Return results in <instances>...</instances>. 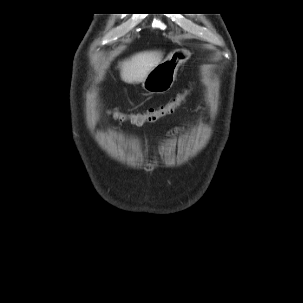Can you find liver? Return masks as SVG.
Wrapping results in <instances>:
<instances>
[{
  "instance_id": "liver-1",
  "label": "liver",
  "mask_w": 303,
  "mask_h": 303,
  "mask_svg": "<svg viewBox=\"0 0 303 303\" xmlns=\"http://www.w3.org/2000/svg\"><path fill=\"white\" fill-rule=\"evenodd\" d=\"M163 54L157 51L142 52L120 63L121 79L129 84L142 82L149 72L162 60Z\"/></svg>"
}]
</instances>
